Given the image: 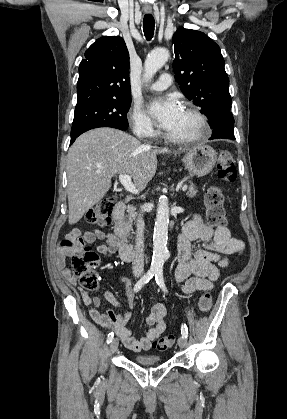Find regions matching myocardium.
I'll use <instances>...</instances> for the list:
<instances>
[{
    "label": "myocardium",
    "mask_w": 287,
    "mask_h": 419,
    "mask_svg": "<svg viewBox=\"0 0 287 419\" xmlns=\"http://www.w3.org/2000/svg\"><path fill=\"white\" fill-rule=\"evenodd\" d=\"M184 109L197 120L199 123V130L195 134L186 137H178L166 133L167 140L177 144H190L208 137L211 130L207 118L197 108L191 105H185Z\"/></svg>",
    "instance_id": "obj_1"
}]
</instances>
